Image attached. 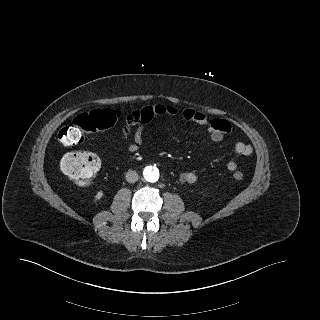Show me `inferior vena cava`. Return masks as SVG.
<instances>
[{
    "label": "inferior vena cava",
    "mask_w": 320,
    "mask_h": 320,
    "mask_svg": "<svg viewBox=\"0 0 320 320\" xmlns=\"http://www.w3.org/2000/svg\"><path fill=\"white\" fill-rule=\"evenodd\" d=\"M139 179V175L137 172L133 171V170H129L126 173V181L129 183H135L136 181H138Z\"/></svg>",
    "instance_id": "602c4592"
}]
</instances>
